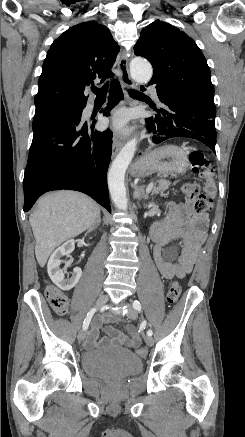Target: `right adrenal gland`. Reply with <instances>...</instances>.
Returning a JSON list of instances; mask_svg holds the SVG:
<instances>
[{
  "label": "right adrenal gland",
  "mask_w": 245,
  "mask_h": 437,
  "mask_svg": "<svg viewBox=\"0 0 245 437\" xmlns=\"http://www.w3.org/2000/svg\"><path fill=\"white\" fill-rule=\"evenodd\" d=\"M100 223H101V216L99 215L95 224L89 228L88 233L93 231L95 228H97L100 225Z\"/></svg>",
  "instance_id": "obj_1"
}]
</instances>
